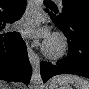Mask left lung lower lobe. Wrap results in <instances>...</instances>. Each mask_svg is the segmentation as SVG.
I'll return each instance as SVG.
<instances>
[{
    "mask_svg": "<svg viewBox=\"0 0 89 89\" xmlns=\"http://www.w3.org/2000/svg\"><path fill=\"white\" fill-rule=\"evenodd\" d=\"M48 14L67 37L70 51L56 65L42 62V79L46 82L59 74H76L89 78V12H74L66 14L64 18L62 14Z\"/></svg>",
    "mask_w": 89,
    "mask_h": 89,
    "instance_id": "obj_1",
    "label": "left lung lower lobe"
}]
</instances>
